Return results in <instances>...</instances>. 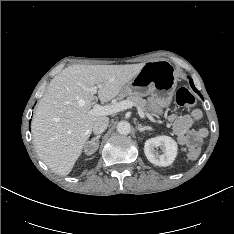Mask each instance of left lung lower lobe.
<instances>
[{"instance_id":"1","label":"left lung lower lobe","mask_w":234,"mask_h":234,"mask_svg":"<svg viewBox=\"0 0 234 234\" xmlns=\"http://www.w3.org/2000/svg\"><path fill=\"white\" fill-rule=\"evenodd\" d=\"M189 79H190V84H191L192 88L195 89L192 79L191 78H189Z\"/></svg>"}]
</instances>
